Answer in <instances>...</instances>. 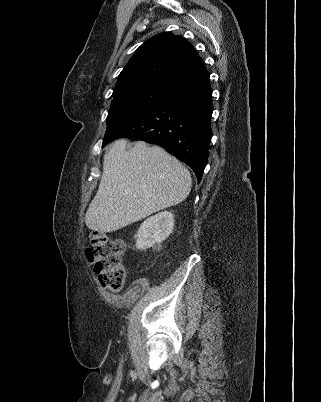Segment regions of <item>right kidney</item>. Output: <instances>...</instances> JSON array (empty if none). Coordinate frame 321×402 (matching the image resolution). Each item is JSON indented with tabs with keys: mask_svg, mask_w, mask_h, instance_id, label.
<instances>
[{
	"mask_svg": "<svg viewBox=\"0 0 321 402\" xmlns=\"http://www.w3.org/2000/svg\"><path fill=\"white\" fill-rule=\"evenodd\" d=\"M174 227V216L171 212L163 211L147 218L138 229L136 248L145 250L159 246L171 233Z\"/></svg>",
	"mask_w": 321,
	"mask_h": 402,
	"instance_id": "right-kidney-1",
	"label": "right kidney"
}]
</instances>
